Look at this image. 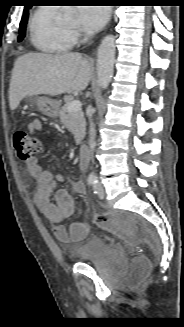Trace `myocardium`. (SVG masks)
I'll return each instance as SVG.
<instances>
[{
  "label": "myocardium",
  "instance_id": "myocardium-1",
  "mask_svg": "<svg viewBox=\"0 0 184 327\" xmlns=\"http://www.w3.org/2000/svg\"><path fill=\"white\" fill-rule=\"evenodd\" d=\"M66 28V27H65ZM67 30H69V31H71V29L70 28H66Z\"/></svg>",
  "mask_w": 184,
  "mask_h": 327
}]
</instances>
